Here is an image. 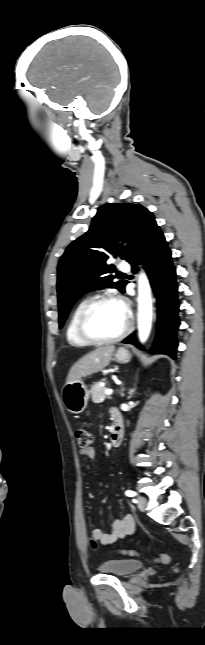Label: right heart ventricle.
<instances>
[{"label": "right heart ventricle", "instance_id": "right-heart-ventricle-1", "mask_svg": "<svg viewBox=\"0 0 205 645\" xmlns=\"http://www.w3.org/2000/svg\"><path fill=\"white\" fill-rule=\"evenodd\" d=\"M86 302L87 300H82L77 303L68 319L66 326V340L71 346L84 347L89 345L88 342L81 338L77 330L78 315Z\"/></svg>", "mask_w": 205, "mask_h": 645}]
</instances>
